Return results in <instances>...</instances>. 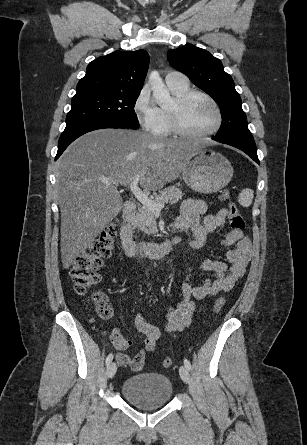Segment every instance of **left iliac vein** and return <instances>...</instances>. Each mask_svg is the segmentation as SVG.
<instances>
[{
  "instance_id": "1",
  "label": "left iliac vein",
  "mask_w": 307,
  "mask_h": 445,
  "mask_svg": "<svg viewBox=\"0 0 307 445\" xmlns=\"http://www.w3.org/2000/svg\"><path fill=\"white\" fill-rule=\"evenodd\" d=\"M179 374L181 379L185 382L188 383L189 382V371L185 366H181L179 368Z\"/></svg>"
}]
</instances>
